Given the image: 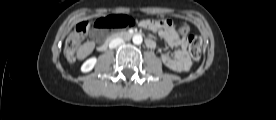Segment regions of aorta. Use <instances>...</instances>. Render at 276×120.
I'll return each mask as SVG.
<instances>
[{
	"label": "aorta",
	"mask_w": 276,
	"mask_h": 120,
	"mask_svg": "<svg viewBox=\"0 0 276 120\" xmlns=\"http://www.w3.org/2000/svg\"><path fill=\"white\" fill-rule=\"evenodd\" d=\"M132 41H133L134 44L140 45L142 43L143 39H142L141 35L136 34V35L133 36Z\"/></svg>",
	"instance_id": "762f6f07"
}]
</instances>
